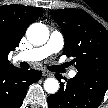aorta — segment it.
<instances>
[{
  "label": "aorta",
  "instance_id": "762f6f07",
  "mask_svg": "<svg viewBox=\"0 0 108 108\" xmlns=\"http://www.w3.org/2000/svg\"><path fill=\"white\" fill-rule=\"evenodd\" d=\"M26 36L31 44L40 46L48 41L49 30L45 24L33 23L28 27ZM44 90L49 94H55L59 90L58 80L56 78H47L44 81Z\"/></svg>",
  "mask_w": 108,
  "mask_h": 108
}]
</instances>
